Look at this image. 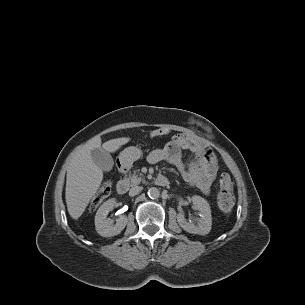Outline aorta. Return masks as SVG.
Returning <instances> with one entry per match:
<instances>
[{
	"label": "aorta",
	"mask_w": 305,
	"mask_h": 305,
	"mask_svg": "<svg viewBox=\"0 0 305 305\" xmlns=\"http://www.w3.org/2000/svg\"><path fill=\"white\" fill-rule=\"evenodd\" d=\"M147 193L151 199H157L160 196V191L156 187L149 188Z\"/></svg>",
	"instance_id": "762f6f07"
}]
</instances>
